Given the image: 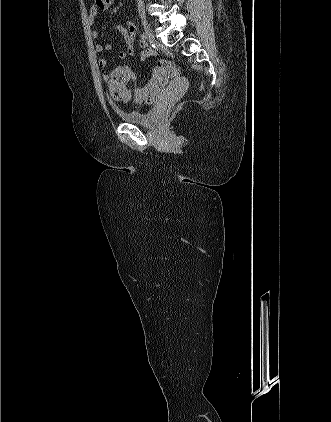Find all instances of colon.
<instances>
[{
  "label": "colon",
  "mask_w": 331,
  "mask_h": 422,
  "mask_svg": "<svg viewBox=\"0 0 331 422\" xmlns=\"http://www.w3.org/2000/svg\"><path fill=\"white\" fill-rule=\"evenodd\" d=\"M180 74V67L174 62L161 60L158 62L154 76L163 81L177 77ZM135 76L134 72L128 67H118L109 74L108 89L110 95L116 100L128 99L131 95L128 83ZM143 100H145L143 98Z\"/></svg>",
  "instance_id": "obj_1"
}]
</instances>
